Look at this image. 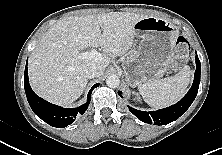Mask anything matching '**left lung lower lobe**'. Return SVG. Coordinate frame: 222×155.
Wrapping results in <instances>:
<instances>
[{"label":"left lung lower lobe","instance_id":"1","mask_svg":"<svg viewBox=\"0 0 222 155\" xmlns=\"http://www.w3.org/2000/svg\"><path fill=\"white\" fill-rule=\"evenodd\" d=\"M200 68V60L196 54V71L192 87L178 103L157 111H140L128 106L129 110L141 121L149 124L165 125L177 120L182 114L185 113L197 95L200 84ZM118 93L122 97L121 92L119 91Z\"/></svg>","mask_w":222,"mask_h":155}]
</instances>
